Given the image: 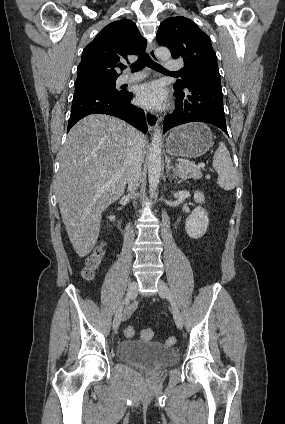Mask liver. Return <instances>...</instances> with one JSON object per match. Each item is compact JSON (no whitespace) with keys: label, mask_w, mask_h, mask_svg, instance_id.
Returning <instances> with one entry per match:
<instances>
[{"label":"liver","mask_w":285,"mask_h":424,"mask_svg":"<svg viewBox=\"0 0 285 424\" xmlns=\"http://www.w3.org/2000/svg\"><path fill=\"white\" fill-rule=\"evenodd\" d=\"M138 136L142 150L146 137L128 123L104 114H92L76 123L59 153L57 199L68 237L80 257L94 248L101 214L124 193L127 160Z\"/></svg>","instance_id":"obj_1"}]
</instances>
